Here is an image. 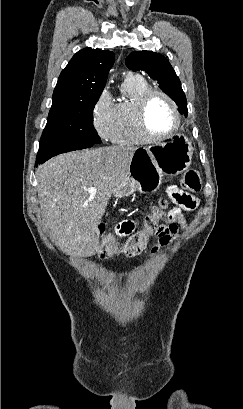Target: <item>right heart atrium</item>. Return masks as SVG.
<instances>
[{"mask_svg": "<svg viewBox=\"0 0 243 409\" xmlns=\"http://www.w3.org/2000/svg\"><path fill=\"white\" fill-rule=\"evenodd\" d=\"M115 125L114 103L107 90H103L92 108V126L103 140H111Z\"/></svg>", "mask_w": 243, "mask_h": 409, "instance_id": "obj_1", "label": "right heart atrium"}]
</instances>
